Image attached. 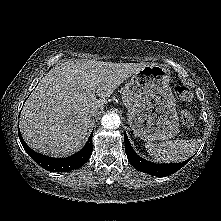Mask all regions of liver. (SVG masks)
<instances>
[{"label": "liver", "instance_id": "1", "mask_svg": "<svg viewBox=\"0 0 221 221\" xmlns=\"http://www.w3.org/2000/svg\"><path fill=\"white\" fill-rule=\"evenodd\" d=\"M146 64L68 60L57 64L25 102L20 130L34 150L64 157L81 148L90 111H102L114 90Z\"/></svg>", "mask_w": 221, "mask_h": 221}]
</instances>
